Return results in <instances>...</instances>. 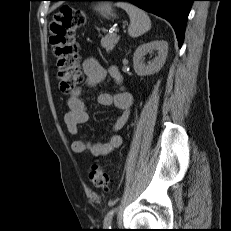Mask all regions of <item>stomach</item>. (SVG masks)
<instances>
[{
    "label": "stomach",
    "mask_w": 231,
    "mask_h": 231,
    "mask_svg": "<svg viewBox=\"0 0 231 231\" xmlns=\"http://www.w3.org/2000/svg\"><path fill=\"white\" fill-rule=\"evenodd\" d=\"M95 10L104 18H111L114 16L112 5L109 2H100L95 6Z\"/></svg>",
    "instance_id": "stomach-1"
}]
</instances>
